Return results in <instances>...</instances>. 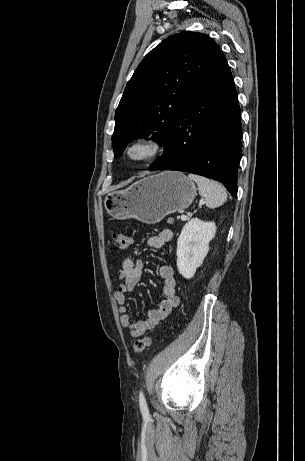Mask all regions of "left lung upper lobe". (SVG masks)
I'll list each match as a JSON object with an SVG mask.
<instances>
[{
    "instance_id": "left-lung-upper-lobe-1",
    "label": "left lung upper lobe",
    "mask_w": 305,
    "mask_h": 461,
    "mask_svg": "<svg viewBox=\"0 0 305 461\" xmlns=\"http://www.w3.org/2000/svg\"><path fill=\"white\" fill-rule=\"evenodd\" d=\"M221 54L209 36L190 31L174 34L151 50L116 109L114 156L120 157L127 144L140 137L151 136L165 147L174 119Z\"/></svg>"
}]
</instances>
